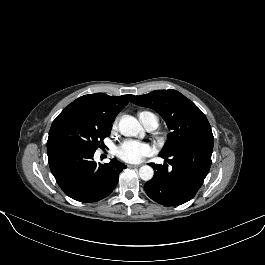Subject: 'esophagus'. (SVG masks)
Instances as JSON below:
<instances>
[{"mask_svg": "<svg viewBox=\"0 0 265 265\" xmlns=\"http://www.w3.org/2000/svg\"><path fill=\"white\" fill-rule=\"evenodd\" d=\"M140 164H129L128 167L134 168V167H140Z\"/></svg>", "mask_w": 265, "mask_h": 265, "instance_id": "esophagus-1", "label": "esophagus"}]
</instances>
